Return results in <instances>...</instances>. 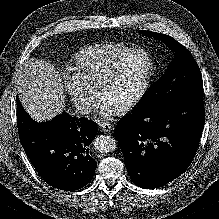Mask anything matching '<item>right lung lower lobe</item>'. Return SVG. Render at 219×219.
<instances>
[{"mask_svg": "<svg viewBox=\"0 0 219 219\" xmlns=\"http://www.w3.org/2000/svg\"><path fill=\"white\" fill-rule=\"evenodd\" d=\"M17 126L26 155L46 183L74 191L92 180L97 167L89 155V145L97 135L94 121L63 112L51 121L38 123L17 98Z\"/></svg>", "mask_w": 219, "mask_h": 219, "instance_id": "1", "label": "right lung lower lobe"}]
</instances>
